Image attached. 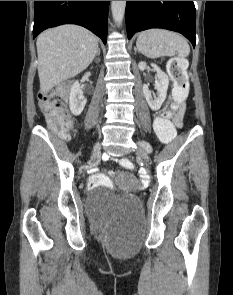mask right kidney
<instances>
[{"mask_svg": "<svg viewBox=\"0 0 233 295\" xmlns=\"http://www.w3.org/2000/svg\"><path fill=\"white\" fill-rule=\"evenodd\" d=\"M86 102L87 99L83 95L79 82L75 81L72 84L69 93V107L72 114L74 116L80 115L86 105Z\"/></svg>", "mask_w": 233, "mask_h": 295, "instance_id": "right-kidney-1", "label": "right kidney"}]
</instances>
